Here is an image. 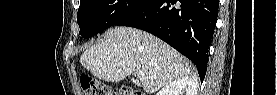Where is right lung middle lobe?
Instances as JSON below:
<instances>
[{
	"label": "right lung middle lobe",
	"mask_w": 277,
	"mask_h": 95,
	"mask_svg": "<svg viewBox=\"0 0 277 95\" xmlns=\"http://www.w3.org/2000/svg\"><path fill=\"white\" fill-rule=\"evenodd\" d=\"M143 0H81L77 23L81 36L89 38L116 25Z\"/></svg>",
	"instance_id": "obj_1"
}]
</instances>
